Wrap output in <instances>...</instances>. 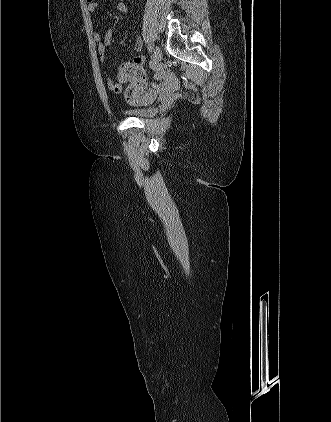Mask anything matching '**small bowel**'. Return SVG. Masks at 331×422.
Here are the masks:
<instances>
[{
    "instance_id": "obj_1",
    "label": "small bowel",
    "mask_w": 331,
    "mask_h": 422,
    "mask_svg": "<svg viewBox=\"0 0 331 422\" xmlns=\"http://www.w3.org/2000/svg\"><path fill=\"white\" fill-rule=\"evenodd\" d=\"M116 8L119 12L123 14L128 13V7L125 3V0H113ZM88 2V11L90 13H96L100 9V5L96 0H87ZM113 36V29H108L104 36H102L99 32L93 33V39L97 46V52L100 59H105L107 54V48L111 44ZM143 48V41L141 38H137L135 40V49L141 50ZM145 56L139 55L134 57L132 63L140 66L144 64ZM157 75L160 76V72L158 70ZM129 83V87H133L136 90V99L133 101L128 100L130 103L135 105H142L150 101L156 94V89L147 90V80L146 75L143 79H131L126 81H108V86L111 91L116 94H119L124 89V84ZM128 87V88H129ZM127 88V89H128ZM126 93V92H125Z\"/></svg>"
}]
</instances>
